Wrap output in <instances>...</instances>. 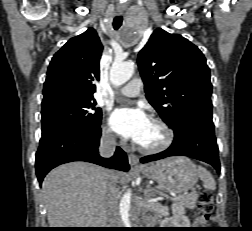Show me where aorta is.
Returning a JSON list of instances; mask_svg holds the SVG:
<instances>
[{"instance_id": "762f6f07", "label": "aorta", "mask_w": 252, "mask_h": 231, "mask_svg": "<svg viewBox=\"0 0 252 231\" xmlns=\"http://www.w3.org/2000/svg\"><path fill=\"white\" fill-rule=\"evenodd\" d=\"M133 62H120L115 61L110 69V81L115 87H119L126 83L134 73ZM130 204H131V191L128 190L120 201V215L122 222L126 228H131L132 223L130 220Z\"/></svg>"}]
</instances>
